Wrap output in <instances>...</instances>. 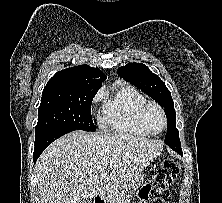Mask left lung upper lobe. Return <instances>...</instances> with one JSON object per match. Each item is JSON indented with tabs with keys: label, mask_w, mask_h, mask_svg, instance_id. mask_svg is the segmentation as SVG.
Here are the masks:
<instances>
[{
	"label": "left lung upper lobe",
	"mask_w": 222,
	"mask_h": 203,
	"mask_svg": "<svg viewBox=\"0 0 222 203\" xmlns=\"http://www.w3.org/2000/svg\"><path fill=\"white\" fill-rule=\"evenodd\" d=\"M117 72L120 77L141 89L165 108L167 117L165 143L168 146L180 144L179 132L175 126L176 112L174 103L165 83L156 74L152 73L146 65L140 63H128L119 67Z\"/></svg>",
	"instance_id": "left-lung-upper-lobe-1"
}]
</instances>
